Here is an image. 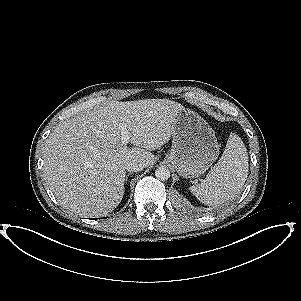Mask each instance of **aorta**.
I'll list each match as a JSON object with an SVG mask.
<instances>
[{"label": "aorta", "instance_id": "762f6f07", "mask_svg": "<svg viewBox=\"0 0 301 301\" xmlns=\"http://www.w3.org/2000/svg\"><path fill=\"white\" fill-rule=\"evenodd\" d=\"M155 176L161 181L168 180L170 178V170L165 166H160L155 170Z\"/></svg>", "mask_w": 301, "mask_h": 301}]
</instances>
